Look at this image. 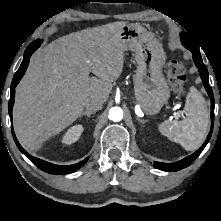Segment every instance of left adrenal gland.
Returning <instances> with one entry per match:
<instances>
[{
	"instance_id": "left-adrenal-gland-1",
	"label": "left adrenal gland",
	"mask_w": 221,
	"mask_h": 221,
	"mask_svg": "<svg viewBox=\"0 0 221 221\" xmlns=\"http://www.w3.org/2000/svg\"><path fill=\"white\" fill-rule=\"evenodd\" d=\"M141 123H146L147 121L146 120H139Z\"/></svg>"
}]
</instances>
